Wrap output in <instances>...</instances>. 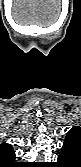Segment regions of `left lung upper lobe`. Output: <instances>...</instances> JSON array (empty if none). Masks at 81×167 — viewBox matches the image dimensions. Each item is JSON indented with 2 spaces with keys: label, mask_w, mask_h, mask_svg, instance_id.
<instances>
[{
  "label": "left lung upper lobe",
  "mask_w": 81,
  "mask_h": 167,
  "mask_svg": "<svg viewBox=\"0 0 81 167\" xmlns=\"http://www.w3.org/2000/svg\"><path fill=\"white\" fill-rule=\"evenodd\" d=\"M63 144L74 146V148L81 153V127L74 126L66 134Z\"/></svg>",
  "instance_id": "left-lung-upper-lobe-1"
}]
</instances>
